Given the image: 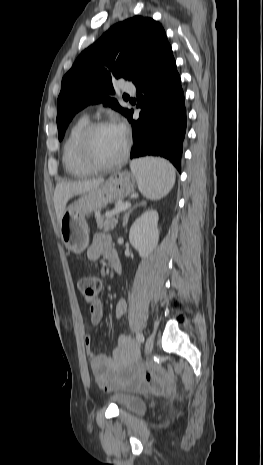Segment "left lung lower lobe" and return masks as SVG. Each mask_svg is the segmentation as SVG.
Returning a JSON list of instances; mask_svg holds the SVG:
<instances>
[{"mask_svg": "<svg viewBox=\"0 0 263 465\" xmlns=\"http://www.w3.org/2000/svg\"><path fill=\"white\" fill-rule=\"evenodd\" d=\"M138 120L133 110L126 117L132 124L134 147L131 158L157 155L167 158L179 171L186 131V108L181 79L171 46L164 45L134 79Z\"/></svg>", "mask_w": 263, "mask_h": 465, "instance_id": "0a47b994", "label": "left lung lower lobe"}]
</instances>
